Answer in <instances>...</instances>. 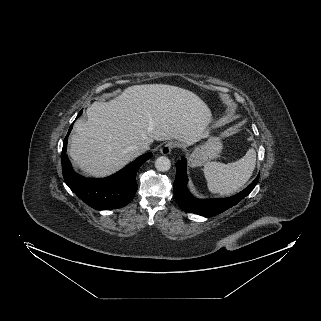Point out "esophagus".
<instances>
[{
  "label": "esophagus",
  "mask_w": 321,
  "mask_h": 321,
  "mask_svg": "<svg viewBox=\"0 0 321 321\" xmlns=\"http://www.w3.org/2000/svg\"><path fill=\"white\" fill-rule=\"evenodd\" d=\"M175 146L176 144L174 142H168L161 148L160 152L163 155H169Z\"/></svg>",
  "instance_id": "obj_1"
}]
</instances>
